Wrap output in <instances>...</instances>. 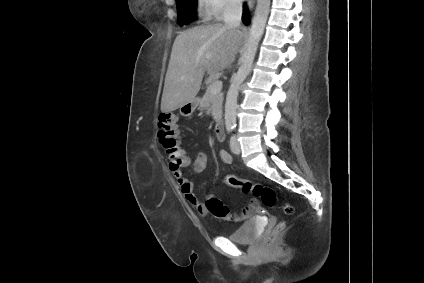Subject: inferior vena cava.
<instances>
[{
  "mask_svg": "<svg viewBox=\"0 0 424 283\" xmlns=\"http://www.w3.org/2000/svg\"><path fill=\"white\" fill-rule=\"evenodd\" d=\"M242 17V0H229L224 9V23L227 27L240 32Z\"/></svg>",
  "mask_w": 424,
  "mask_h": 283,
  "instance_id": "602c4592",
  "label": "inferior vena cava"
}]
</instances>
